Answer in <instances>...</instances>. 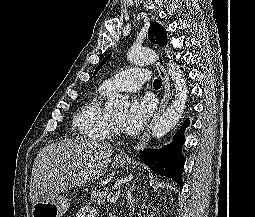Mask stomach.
I'll use <instances>...</instances> for the list:
<instances>
[{
    "label": "stomach",
    "mask_w": 255,
    "mask_h": 217,
    "mask_svg": "<svg viewBox=\"0 0 255 217\" xmlns=\"http://www.w3.org/2000/svg\"><path fill=\"white\" fill-rule=\"evenodd\" d=\"M113 164L116 167H123L126 164V158L116 156ZM69 206V199L57 195L52 199H45L35 203L32 209V217H63Z\"/></svg>",
    "instance_id": "obj_1"
}]
</instances>
